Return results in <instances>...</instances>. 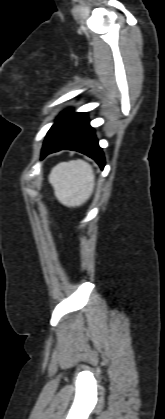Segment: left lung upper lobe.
I'll return each mask as SVG.
<instances>
[{
	"mask_svg": "<svg viewBox=\"0 0 165 419\" xmlns=\"http://www.w3.org/2000/svg\"><path fill=\"white\" fill-rule=\"evenodd\" d=\"M68 112H69V110H66V111H64L63 113H61V114H60V116L58 117V119L56 120V122L54 123V125H55V124L59 121V119H60L61 117H63V116H64L65 114H67ZM54 125H53V126H54ZM53 126H52V127H53ZM52 127H51V128H52Z\"/></svg>",
	"mask_w": 165,
	"mask_h": 419,
	"instance_id": "obj_1",
	"label": "left lung upper lobe"
}]
</instances>
